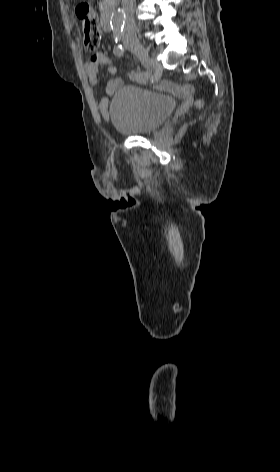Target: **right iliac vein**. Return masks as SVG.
<instances>
[{"label":"right iliac vein","mask_w":280,"mask_h":472,"mask_svg":"<svg viewBox=\"0 0 280 472\" xmlns=\"http://www.w3.org/2000/svg\"><path fill=\"white\" fill-rule=\"evenodd\" d=\"M125 46L133 52L138 59L146 67L150 64L148 50L140 43V41L135 36H128L124 38Z\"/></svg>","instance_id":"obj_1"}]
</instances>
